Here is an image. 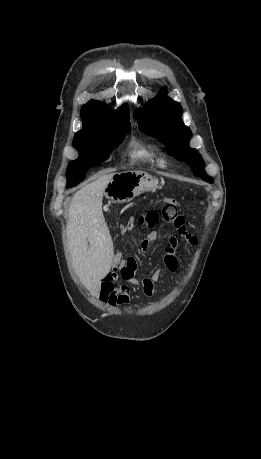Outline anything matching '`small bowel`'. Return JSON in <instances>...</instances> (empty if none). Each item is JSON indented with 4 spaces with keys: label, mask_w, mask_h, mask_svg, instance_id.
Segmentation results:
<instances>
[{
    "label": "small bowel",
    "mask_w": 261,
    "mask_h": 459,
    "mask_svg": "<svg viewBox=\"0 0 261 459\" xmlns=\"http://www.w3.org/2000/svg\"><path fill=\"white\" fill-rule=\"evenodd\" d=\"M135 226L134 219L130 218L128 222L122 227V231H131ZM178 233L187 239V241L195 245L196 239L191 236L183 225L182 228L177 229ZM157 232L152 230L141 241L140 247L142 251H147L149 244L157 239ZM178 240L174 235L168 237V244L165 248L163 262L165 268L170 272H176L179 267L177 258ZM137 265L136 260L132 257L124 260L119 267L118 272L108 273L100 285V300L110 306L122 307L130 302V287L138 288L146 297H153L156 290L157 282L161 276L162 269H157L151 276H145L141 279L136 278ZM122 280V283H118Z\"/></svg>",
    "instance_id": "1"
}]
</instances>
